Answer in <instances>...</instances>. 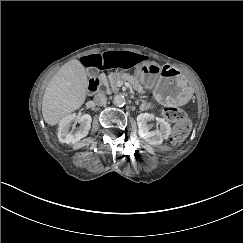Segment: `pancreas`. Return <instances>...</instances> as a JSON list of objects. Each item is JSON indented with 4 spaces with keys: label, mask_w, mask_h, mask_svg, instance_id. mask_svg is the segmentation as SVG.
I'll return each instance as SVG.
<instances>
[{
    "label": "pancreas",
    "mask_w": 243,
    "mask_h": 243,
    "mask_svg": "<svg viewBox=\"0 0 243 243\" xmlns=\"http://www.w3.org/2000/svg\"><path fill=\"white\" fill-rule=\"evenodd\" d=\"M127 79L128 81H131L133 84V88L138 92V93H144V89L142 85L138 83V80L134 77L133 74H127V73H110L106 74L104 77H101L102 82L107 85L111 86V89L113 92L118 91V85L117 83L121 81L122 79ZM138 83V84H137Z\"/></svg>",
    "instance_id": "pancreas-1"
}]
</instances>
